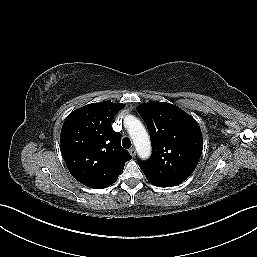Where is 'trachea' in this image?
Returning a JSON list of instances; mask_svg holds the SVG:
<instances>
[{
	"instance_id": "obj_1",
	"label": "trachea",
	"mask_w": 257,
	"mask_h": 257,
	"mask_svg": "<svg viewBox=\"0 0 257 257\" xmlns=\"http://www.w3.org/2000/svg\"><path fill=\"white\" fill-rule=\"evenodd\" d=\"M131 141L129 138H124L122 140V146L125 148V149H129L131 147Z\"/></svg>"
}]
</instances>
